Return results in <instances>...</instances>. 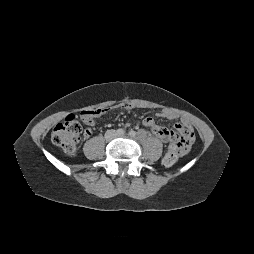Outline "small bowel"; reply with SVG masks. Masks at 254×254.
Wrapping results in <instances>:
<instances>
[{"instance_id":"c3829d8e","label":"small bowel","mask_w":254,"mask_h":254,"mask_svg":"<svg viewBox=\"0 0 254 254\" xmlns=\"http://www.w3.org/2000/svg\"><path fill=\"white\" fill-rule=\"evenodd\" d=\"M122 107L126 109L133 108L132 104H123ZM100 111L97 114L90 115L86 114V111L83 114V120L84 122L89 125L93 126L95 124V118L98 116H101L108 112L107 108L99 109ZM158 117L164 118V119H175L176 115L168 110H161L157 114ZM143 125L152 130V132L164 143H172L175 142V144L178 147V150L181 154V156L187 154L190 149L191 145L194 141V132L191 128V126L186 122H181L175 125V130L177 134L172 130L165 127H162L158 124H156L155 120L152 117H146L143 120ZM168 166V165H165Z\"/></svg>"}]
</instances>
